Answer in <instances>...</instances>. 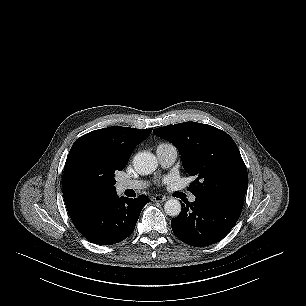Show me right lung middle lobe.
Returning a JSON list of instances; mask_svg holds the SVG:
<instances>
[{
	"mask_svg": "<svg viewBox=\"0 0 306 306\" xmlns=\"http://www.w3.org/2000/svg\"><path fill=\"white\" fill-rule=\"evenodd\" d=\"M124 164L110 159H97L87 153L80 154L72 168L74 184L85 192H96L102 189H115L114 173L123 170Z\"/></svg>",
	"mask_w": 306,
	"mask_h": 306,
	"instance_id": "1",
	"label": "right lung middle lobe"
}]
</instances>
